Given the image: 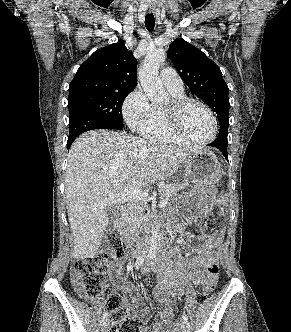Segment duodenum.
Wrapping results in <instances>:
<instances>
[{
  "label": "duodenum",
  "mask_w": 291,
  "mask_h": 332,
  "mask_svg": "<svg viewBox=\"0 0 291 332\" xmlns=\"http://www.w3.org/2000/svg\"><path fill=\"white\" fill-rule=\"evenodd\" d=\"M152 228L158 229L163 226L162 222L155 220L151 223ZM126 240L129 244H134L137 241V238L135 236H126ZM139 251L138 254L144 255L148 252V246L145 242H137Z\"/></svg>",
  "instance_id": "obj_1"
}]
</instances>
